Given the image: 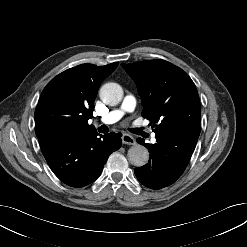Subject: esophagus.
I'll return each instance as SVG.
<instances>
[{
  "mask_svg": "<svg viewBox=\"0 0 247 247\" xmlns=\"http://www.w3.org/2000/svg\"><path fill=\"white\" fill-rule=\"evenodd\" d=\"M121 138H122L123 144H127V145H135L136 144V140L134 139V137L129 135V134L124 133Z\"/></svg>",
  "mask_w": 247,
  "mask_h": 247,
  "instance_id": "obj_1",
  "label": "esophagus"
}]
</instances>
